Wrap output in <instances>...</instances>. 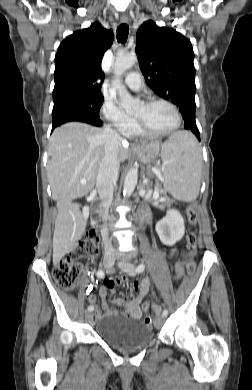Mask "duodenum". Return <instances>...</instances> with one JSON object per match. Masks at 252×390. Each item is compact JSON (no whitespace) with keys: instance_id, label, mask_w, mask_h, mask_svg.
Returning a JSON list of instances; mask_svg holds the SVG:
<instances>
[{"instance_id":"duodenum-1","label":"duodenum","mask_w":252,"mask_h":390,"mask_svg":"<svg viewBox=\"0 0 252 390\" xmlns=\"http://www.w3.org/2000/svg\"><path fill=\"white\" fill-rule=\"evenodd\" d=\"M104 217H105V214H104L103 208L98 203H95L94 204V218H93V222H94V226L96 228H101L102 227L103 221H104Z\"/></svg>"}]
</instances>
